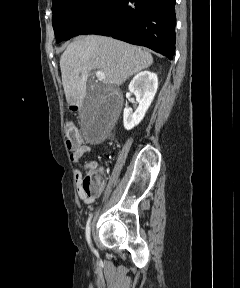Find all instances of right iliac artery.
<instances>
[{
    "instance_id": "right-iliac-artery-1",
    "label": "right iliac artery",
    "mask_w": 240,
    "mask_h": 288,
    "mask_svg": "<svg viewBox=\"0 0 240 288\" xmlns=\"http://www.w3.org/2000/svg\"><path fill=\"white\" fill-rule=\"evenodd\" d=\"M91 218H92V215H90V217L88 218L85 235H86V240L88 242V245L93 250L92 243H91V237H90V222H91Z\"/></svg>"
}]
</instances>
